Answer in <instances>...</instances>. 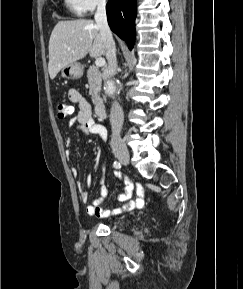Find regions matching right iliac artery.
Masks as SVG:
<instances>
[{"label":"right iliac artery","mask_w":243,"mask_h":289,"mask_svg":"<svg viewBox=\"0 0 243 289\" xmlns=\"http://www.w3.org/2000/svg\"><path fill=\"white\" fill-rule=\"evenodd\" d=\"M113 166H114V168H116V169L121 168V164H120V162H118V161H115V162L113 163Z\"/></svg>","instance_id":"82829eb1"}]
</instances>
